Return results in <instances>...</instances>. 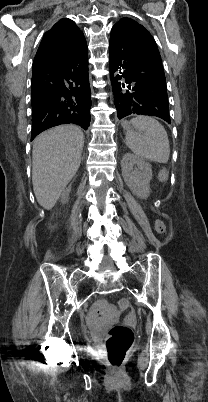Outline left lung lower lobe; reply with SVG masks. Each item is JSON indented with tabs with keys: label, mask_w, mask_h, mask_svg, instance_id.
I'll list each match as a JSON object with an SVG mask.
<instances>
[{
	"label": "left lung lower lobe",
	"mask_w": 208,
	"mask_h": 402,
	"mask_svg": "<svg viewBox=\"0 0 208 402\" xmlns=\"http://www.w3.org/2000/svg\"><path fill=\"white\" fill-rule=\"evenodd\" d=\"M134 36L123 26L115 25L109 42L110 79L117 117L148 115L169 124L167 88L137 69V44L145 37Z\"/></svg>",
	"instance_id": "1"
}]
</instances>
